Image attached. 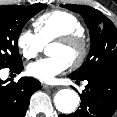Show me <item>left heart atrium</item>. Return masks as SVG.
<instances>
[{"label":"left heart atrium","instance_id":"1","mask_svg":"<svg viewBox=\"0 0 117 117\" xmlns=\"http://www.w3.org/2000/svg\"><path fill=\"white\" fill-rule=\"evenodd\" d=\"M70 62L63 56L39 59L27 67L28 74L45 83H53L56 77L68 69Z\"/></svg>","mask_w":117,"mask_h":117}]
</instances>
